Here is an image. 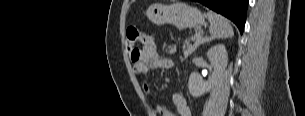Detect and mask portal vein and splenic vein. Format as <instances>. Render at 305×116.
<instances>
[{"label":"portal vein and splenic vein","instance_id":"obj_1","mask_svg":"<svg viewBox=\"0 0 305 116\" xmlns=\"http://www.w3.org/2000/svg\"><path fill=\"white\" fill-rule=\"evenodd\" d=\"M195 37L198 39V41L195 42V45H197V44L200 42V39H199L200 34H199V33H196V34H195Z\"/></svg>","mask_w":305,"mask_h":116}]
</instances>
